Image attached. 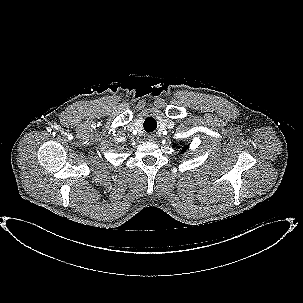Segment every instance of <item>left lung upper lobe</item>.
<instances>
[{
    "mask_svg": "<svg viewBox=\"0 0 303 303\" xmlns=\"http://www.w3.org/2000/svg\"><path fill=\"white\" fill-rule=\"evenodd\" d=\"M178 144H174L173 146L176 147ZM179 147V146H178ZM188 149V146L183 147L182 152H185Z\"/></svg>",
    "mask_w": 303,
    "mask_h": 303,
    "instance_id": "1",
    "label": "left lung upper lobe"
}]
</instances>
